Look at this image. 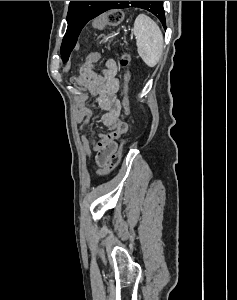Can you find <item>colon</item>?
<instances>
[{"label": "colon", "mask_w": 237, "mask_h": 300, "mask_svg": "<svg viewBox=\"0 0 237 300\" xmlns=\"http://www.w3.org/2000/svg\"><path fill=\"white\" fill-rule=\"evenodd\" d=\"M124 13L120 9H112L104 12L100 16H98L94 22L93 26L96 29H102L104 27H116L120 25L123 21ZM100 59L98 54H90L84 60V65H94ZM120 64L122 67L127 69L130 65V56L126 53L122 54L120 58ZM129 82H130V74L127 72L125 74V84L123 90V105L125 108V112L128 114V92H129ZM127 140L123 139L120 142L118 149L112 153L107 161V163L102 167L100 171L97 172V176L103 177L108 175L111 171H113L119 164L121 159V154L123 151V147L126 144Z\"/></svg>", "instance_id": "colon-1"}]
</instances>
